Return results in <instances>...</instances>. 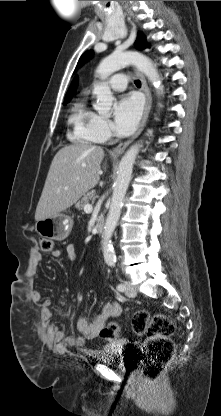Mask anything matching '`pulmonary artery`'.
I'll return each instance as SVG.
<instances>
[{
  "label": "pulmonary artery",
  "instance_id": "obj_1",
  "mask_svg": "<svg viewBox=\"0 0 221 416\" xmlns=\"http://www.w3.org/2000/svg\"><path fill=\"white\" fill-rule=\"evenodd\" d=\"M128 83L127 76L123 73L114 75L109 81L108 86L114 91H123Z\"/></svg>",
  "mask_w": 221,
  "mask_h": 416
}]
</instances>
